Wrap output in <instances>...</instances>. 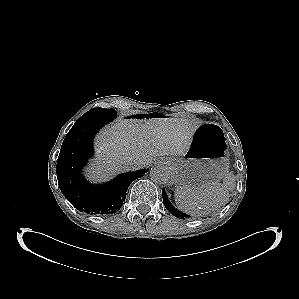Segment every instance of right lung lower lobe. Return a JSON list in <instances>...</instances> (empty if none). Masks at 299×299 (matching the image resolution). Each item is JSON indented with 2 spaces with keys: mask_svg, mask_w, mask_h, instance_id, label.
<instances>
[{
  "mask_svg": "<svg viewBox=\"0 0 299 299\" xmlns=\"http://www.w3.org/2000/svg\"><path fill=\"white\" fill-rule=\"evenodd\" d=\"M93 119L76 122L67 133L57 160V178L62 194L79 211L87 214H112L123 205L131 182L148 169L124 173L104 185H91L81 171L93 155V138L97 131L110 122Z\"/></svg>",
  "mask_w": 299,
  "mask_h": 299,
  "instance_id": "right-lung-lower-lobe-1",
  "label": "right lung lower lobe"
}]
</instances>
